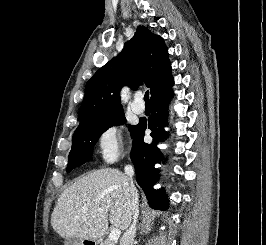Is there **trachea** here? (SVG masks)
<instances>
[{"label": "trachea", "instance_id": "obj_1", "mask_svg": "<svg viewBox=\"0 0 266 245\" xmlns=\"http://www.w3.org/2000/svg\"><path fill=\"white\" fill-rule=\"evenodd\" d=\"M144 101H145V103H150V101H149V90H147V92L144 95Z\"/></svg>", "mask_w": 266, "mask_h": 245}]
</instances>
